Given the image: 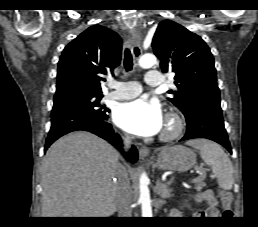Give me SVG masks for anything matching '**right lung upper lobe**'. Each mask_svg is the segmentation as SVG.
<instances>
[{
	"label": "right lung upper lobe",
	"mask_w": 258,
	"mask_h": 227,
	"mask_svg": "<svg viewBox=\"0 0 258 227\" xmlns=\"http://www.w3.org/2000/svg\"><path fill=\"white\" fill-rule=\"evenodd\" d=\"M122 40L101 25L89 27L63 50L58 63L56 93L71 89L102 93L101 75L121 61Z\"/></svg>",
	"instance_id": "obj_1"
}]
</instances>
